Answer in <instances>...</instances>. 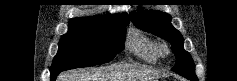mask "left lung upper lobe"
I'll list each match as a JSON object with an SVG mask.
<instances>
[{
    "label": "left lung upper lobe",
    "mask_w": 237,
    "mask_h": 81,
    "mask_svg": "<svg viewBox=\"0 0 237 81\" xmlns=\"http://www.w3.org/2000/svg\"><path fill=\"white\" fill-rule=\"evenodd\" d=\"M130 18L138 28L160 36L171 43L172 51L177 60L172 71L184 77L198 80L192 57L184 50V39L179 31L171 25L170 15L159 11L144 12L138 10L137 13L132 12Z\"/></svg>",
    "instance_id": "obj_1"
}]
</instances>
